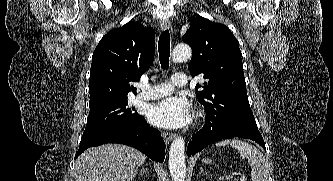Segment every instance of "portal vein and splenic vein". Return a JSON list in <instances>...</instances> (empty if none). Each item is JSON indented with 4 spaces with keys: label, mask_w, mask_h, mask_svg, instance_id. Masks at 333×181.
Masks as SVG:
<instances>
[{
    "label": "portal vein and splenic vein",
    "mask_w": 333,
    "mask_h": 181,
    "mask_svg": "<svg viewBox=\"0 0 333 181\" xmlns=\"http://www.w3.org/2000/svg\"><path fill=\"white\" fill-rule=\"evenodd\" d=\"M232 178H233V174H230V175H226V176H225V179H226V180H230V179H232Z\"/></svg>",
    "instance_id": "18ae733b"
}]
</instances>
